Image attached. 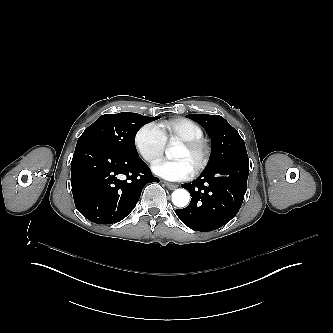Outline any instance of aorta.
Here are the masks:
<instances>
[{
	"label": "aorta",
	"instance_id": "obj_1",
	"mask_svg": "<svg viewBox=\"0 0 333 333\" xmlns=\"http://www.w3.org/2000/svg\"><path fill=\"white\" fill-rule=\"evenodd\" d=\"M171 143L178 142L177 140L171 139ZM174 146L165 149L167 157L173 156ZM189 192L185 189H176L172 193V202L176 207H185L189 203Z\"/></svg>",
	"mask_w": 333,
	"mask_h": 333
}]
</instances>
